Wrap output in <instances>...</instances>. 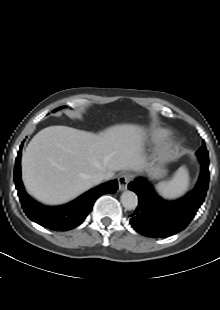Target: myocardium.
I'll list each match as a JSON object with an SVG mask.
<instances>
[{"mask_svg": "<svg viewBox=\"0 0 220 310\" xmlns=\"http://www.w3.org/2000/svg\"><path fill=\"white\" fill-rule=\"evenodd\" d=\"M174 153L173 146H168L166 148H163L158 153V159L160 161H167L171 159L172 155Z\"/></svg>", "mask_w": 220, "mask_h": 310, "instance_id": "f54148a6", "label": "myocardium"}]
</instances>
